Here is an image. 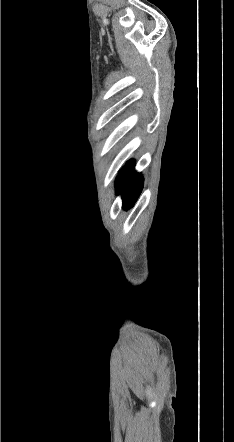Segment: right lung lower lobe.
<instances>
[{"label":"right lung lower lobe","instance_id":"98d812e1","mask_svg":"<svg viewBox=\"0 0 234 442\" xmlns=\"http://www.w3.org/2000/svg\"><path fill=\"white\" fill-rule=\"evenodd\" d=\"M134 160H131L121 169L116 179V192L122 194L123 208L129 209L133 206L143 187V177L134 172Z\"/></svg>","mask_w":234,"mask_h":442}]
</instances>
